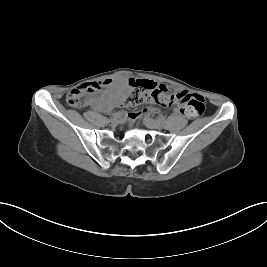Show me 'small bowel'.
Returning <instances> with one entry per match:
<instances>
[{
	"label": "small bowel",
	"mask_w": 267,
	"mask_h": 267,
	"mask_svg": "<svg viewBox=\"0 0 267 267\" xmlns=\"http://www.w3.org/2000/svg\"><path fill=\"white\" fill-rule=\"evenodd\" d=\"M106 85H107V81H102V82L87 84L86 86L88 88L98 89V88H100L102 86H106ZM182 92L183 91H180L174 95V100L171 104V106H175L176 111H179V112H180L181 102H182V98L180 97V94ZM122 95H123V92L116 91V92H114L108 96H103L100 98H92L88 101V105H90L92 108L98 109V110H109L112 105H115V106H122L123 105L122 101H120V99L122 98ZM147 112H148L147 110H144L140 113L131 112V113H128L126 115V118L128 120H133L139 114H147Z\"/></svg>",
	"instance_id": "1"
}]
</instances>
